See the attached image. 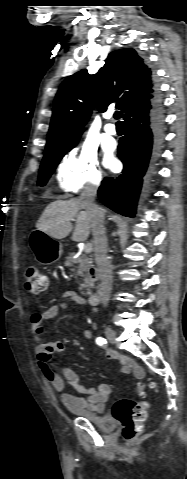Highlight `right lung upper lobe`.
Segmentation results:
<instances>
[{"instance_id": "cb5924a9", "label": "right lung upper lobe", "mask_w": 187, "mask_h": 479, "mask_svg": "<svg viewBox=\"0 0 187 479\" xmlns=\"http://www.w3.org/2000/svg\"><path fill=\"white\" fill-rule=\"evenodd\" d=\"M152 70L134 49L111 52L103 67L90 75L81 70L67 77L55 97L46 151L77 143L92 107L100 112L112 103L126 114L149 105L158 95Z\"/></svg>"}]
</instances>
